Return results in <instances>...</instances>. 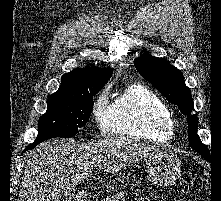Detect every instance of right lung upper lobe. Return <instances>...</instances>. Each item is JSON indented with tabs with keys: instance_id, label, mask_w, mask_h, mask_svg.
<instances>
[{
	"instance_id": "cb5924a9",
	"label": "right lung upper lobe",
	"mask_w": 221,
	"mask_h": 201,
	"mask_svg": "<svg viewBox=\"0 0 221 201\" xmlns=\"http://www.w3.org/2000/svg\"><path fill=\"white\" fill-rule=\"evenodd\" d=\"M112 68L88 67L74 69L62 76L57 94L85 96L99 91L112 76Z\"/></svg>"
}]
</instances>
